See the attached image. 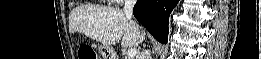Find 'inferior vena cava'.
Segmentation results:
<instances>
[{"instance_id":"602c4592","label":"inferior vena cava","mask_w":261,"mask_h":59,"mask_svg":"<svg viewBox=\"0 0 261 59\" xmlns=\"http://www.w3.org/2000/svg\"><path fill=\"white\" fill-rule=\"evenodd\" d=\"M136 4V0H125V5L123 8L125 16L131 20L133 15V8ZM140 59H151V54L148 50H143Z\"/></svg>"}]
</instances>
